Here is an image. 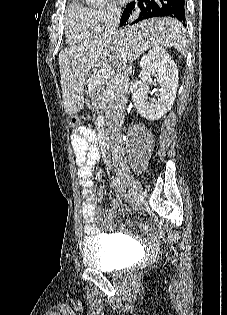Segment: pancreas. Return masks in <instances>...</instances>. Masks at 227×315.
<instances>
[{"mask_svg":"<svg viewBox=\"0 0 227 315\" xmlns=\"http://www.w3.org/2000/svg\"><path fill=\"white\" fill-rule=\"evenodd\" d=\"M95 77H92L89 81V96L92 100V105L95 106L97 111H100L102 114L103 121L107 126H110L112 119V109H113V95H107L98 85L93 84Z\"/></svg>","mask_w":227,"mask_h":315,"instance_id":"1","label":"pancreas"}]
</instances>
